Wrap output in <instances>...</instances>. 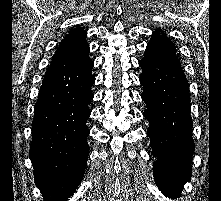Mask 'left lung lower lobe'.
<instances>
[{
    "mask_svg": "<svg viewBox=\"0 0 221 201\" xmlns=\"http://www.w3.org/2000/svg\"><path fill=\"white\" fill-rule=\"evenodd\" d=\"M139 77L146 103L144 117L149 121L147 136L151 139L154 178L160 191L170 198L180 196L191 177L195 144L190 115L188 81L181 67L145 56L139 61Z\"/></svg>",
    "mask_w": 221,
    "mask_h": 201,
    "instance_id": "obj_1",
    "label": "left lung lower lobe"
}]
</instances>
